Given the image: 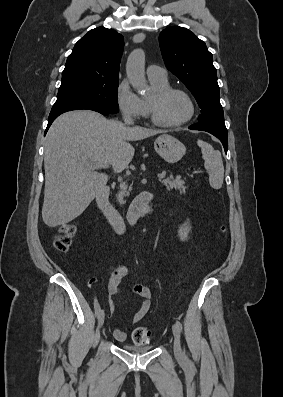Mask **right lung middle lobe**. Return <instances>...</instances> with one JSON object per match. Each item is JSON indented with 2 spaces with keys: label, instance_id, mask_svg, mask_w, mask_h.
I'll use <instances>...</instances> for the list:
<instances>
[{
  "label": "right lung middle lobe",
  "instance_id": "obj_1",
  "mask_svg": "<svg viewBox=\"0 0 283 397\" xmlns=\"http://www.w3.org/2000/svg\"><path fill=\"white\" fill-rule=\"evenodd\" d=\"M118 82L119 78L64 73L54 105H90L115 114L119 111Z\"/></svg>",
  "mask_w": 283,
  "mask_h": 397
}]
</instances>
